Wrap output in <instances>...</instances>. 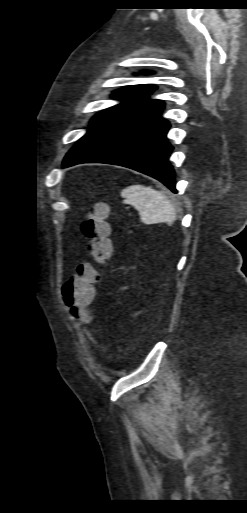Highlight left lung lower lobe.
<instances>
[{
	"label": "left lung lower lobe",
	"mask_w": 247,
	"mask_h": 513,
	"mask_svg": "<svg viewBox=\"0 0 247 513\" xmlns=\"http://www.w3.org/2000/svg\"><path fill=\"white\" fill-rule=\"evenodd\" d=\"M151 93L94 120L66 155L63 167L86 162L121 165L147 174L177 193L174 170L168 162L173 149L166 138L170 124L161 117L164 103L149 99Z\"/></svg>",
	"instance_id": "left-lung-lower-lobe-1"
}]
</instances>
